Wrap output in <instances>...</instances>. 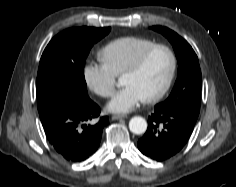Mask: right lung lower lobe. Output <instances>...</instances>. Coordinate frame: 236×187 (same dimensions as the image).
I'll list each match as a JSON object with an SVG mask.
<instances>
[{"label":"right lung lower lobe","mask_w":236,"mask_h":187,"mask_svg":"<svg viewBox=\"0 0 236 187\" xmlns=\"http://www.w3.org/2000/svg\"><path fill=\"white\" fill-rule=\"evenodd\" d=\"M100 115V108L88 96L62 100L42 121L44 131L55 150L70 162H81L98 149L107 116L96 124H87Z\"/></svg>","instance_id":"right-lung-lower-lobe-1"}]
</instances>
